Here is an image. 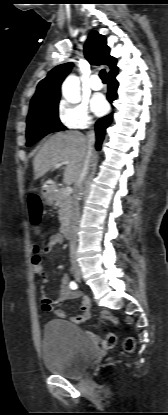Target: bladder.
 Segmentation results:
<instances>
[{
  "mask_svg": "<svg viewBox=\"0 0 168 415\" xmlns=\"http://www.w3.org/2000/svg\"><path fill=\"white\" fill-rule=\"evenodd\" d=\"M42 354L51 373L77 378L94 360L96 348L81 328L63 320H51L43 328Z\"/></svg>",
  "mask_w": 168,
  "mask_h": 415,
  "instance_id": "31cf9c89",
  "label": "bladder"
}]
</instances>
